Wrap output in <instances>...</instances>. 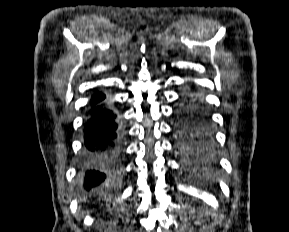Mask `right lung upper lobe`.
Here are the masks:
<instances>
[{"mask_svg": "<svg viewBox=\"0 0 289 232\" xmlns=\"http://www.w3.org/2000/svg\"><path fill=\"white\" fill-rule=\"evenodd\" d=\"M106 95L100 93V92H97L93 97H104Z\"/></svg>", "mask_w": 289, "mask_h": 232, "instance_id": "right-lung-upper-lobe-1", "label": "right lung upper lobe"}]
</instances>
